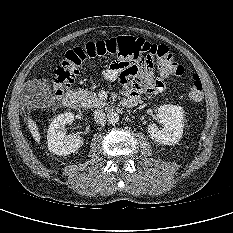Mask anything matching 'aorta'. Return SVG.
<instances>
[{
    "mask_svg": "<svg viewBox=\"0 0 233 233\" xmlns=\"http://www.w3.org/2000/svg\"><path fill=\"white\" fill-rule=\"evenodd\" d=\"M107 121L110 124H116L119 121V115L116 112H109L107 114Z\"/></svg>",
    "mask_w": 233,
    "mask_h": 233,
    "instance_id": "1",
    "label": "aorta"
}]
</instances>
